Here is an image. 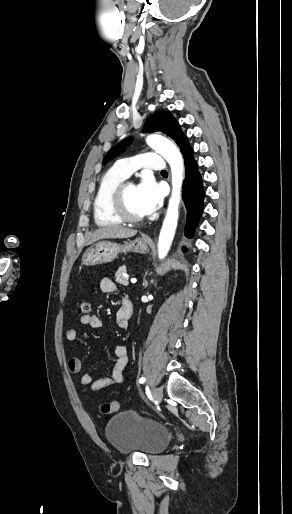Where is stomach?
Masks as SVG:
<instances>
[{"label": "stomach", "mask_w": 292, "mask_h": 514, "mask_svg": "<svg viewBox=\"0 0 292 514\" xmlns=\"http://www.w3.org/2000/svg\"><path fill=\"white\" fill-rule=\"evenodd\" d=\"M126 254V252H137V254H147L148 246L143 238H136V240H129L121 244H114V242H98L94 244L91 250L85 252L82 258L83 266H94V264H108L118 258L119 254Z\"/></svg>", "instance_id": "obj_1"}]
</instances>
